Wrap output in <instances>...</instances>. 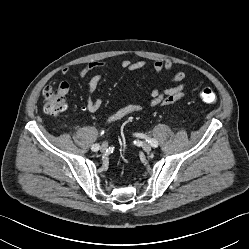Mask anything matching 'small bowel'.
Returning a JSON list of instances; mask_svg holds the SVG:
<instances>
[{
	"label": "small bowel",
	"instance_id": "obj_1",
	"mask_svg": "<svg viewBox=\"0 0 249 249\" xmlns=\"http://www.w3.org/2000/svg\"><path fill=\"white\" fill-rule=\"evenodd\" d=\"M105 65V61L101 59L92 60L89 62L81 63L76 66V72L80 77H85L89 73L101 69ZM119 65L127 71H137L143 69L147 66L145 60L130 61L128 59H123L120 61ZM153 70L156 74L162 75L167 74L169 76V81L172 84L171 87L160 89L158 87L152 88L150 95L151 99L149 102L152 108H162L170 106L187 94V83L185 82L186 71L184 69H179L174 71V63L171 60H155L152 64ZM70 72L69 67H64L62 73L67 75ZM103 81V76L101 74L93 75L87 84V98L84 109L89 112H96L102 106V100L95 96V92ZM70 92V84L68 81H62L58 86V93L62 96L68 95ZM144 105L131 103L124 105L108 115L104 119V124L108 125L124 119L130 115L141 112L144 110Z\"/></svg>",
	"mask_w": 249,
	"mask_h": 249
}]
</instances>
